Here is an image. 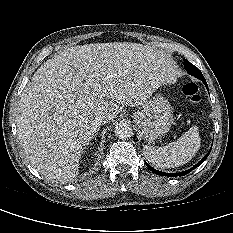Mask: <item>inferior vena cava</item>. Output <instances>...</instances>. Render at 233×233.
Masks as SVG:
<instances>
[{
    "label": "inferior vena cava",
    "mask_w": 233,
    "mask_h": 233,
    "mask_svg": "<svg viewBox=\"0 0 233 233\" xmlns=\"http://www.w3.org/2000/svg\"><path fill=\"white\" fill-rule=\"evenodd\" d=\"M105 121L102 115H95L91 120V124L93 126H100Z\"/></svg>",
    "instance_id": "inferior-vena-cava-1"
}]
</instances>
